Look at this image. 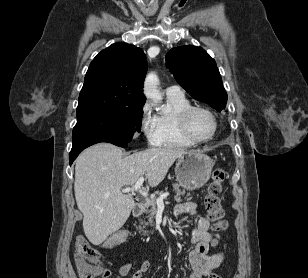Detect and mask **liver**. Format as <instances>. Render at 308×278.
I'll return each instance as SVG.
<instances>
[{"mask_svg":"<svg viewBox=\"0 0 308 278\" xmlns=\"http://www.w3.org/2000/svg\"><path fill=\"white\" fill-rule=\"evenodd\" d=\"M187 153L182 148H148L123 157L110 143L84 150L76 159L74 191L88 240L100 245L129 218L134 200L121 192L123 187L144 174L151 187L157 186L175 160Z\"/></svg>","mask_w":308,"mask_h":278,"instance_id":"obj_1","label":"liver"}]
</instances>
